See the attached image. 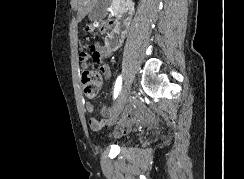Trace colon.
Segmentation results:
<instances>
[{
	"instance_id": "5ec220e1",
	"label": "colon",
	"mask_w": 244,
	"mask_h": 179,
	"mask_svg": "<svg viewBox=\"0 0 244 179\" xmlns=\"http://www.w3.org/2000/svg\"><path fill=\"white\" fill-rule=\"evenodd\" d=\"M110 28L109 22H100L98 24H92L86 26V31L89 33H104ZM81 85L82 93L88 98H95L101 88L103 73L99 68L97 57L93 56L88 58L87 52L81 53Z\"/></svg>"
}]
</instances>
